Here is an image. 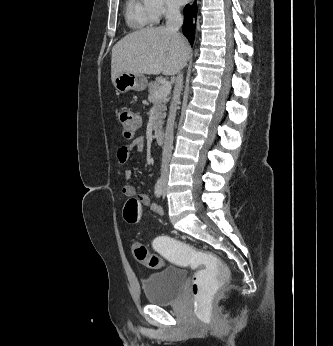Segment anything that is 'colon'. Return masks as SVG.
Returning a JSON list of instances; mask_svg holds the SVG:
<instances>
[{
  "label": "colon",
  "instance_id": "1",
  "mask_svg": "<svg viewBox=\"0 0 333 346\" xmlns=\"http://www.w3.org/2000/svg\"><path fill=\"white\" fill-rule=\"evenodd\" d=\"M119 120L123 137L130 140L137 132L140 122L138 116L131 110L123 108L119 112ZM124 220L128 224H136L140 217V202L136 198L129 199L123 210ZM151 245V253L146 245L134 242L132 251L135 259L150 269H159L163 266L164 256L168 264L174 268H190L196 271L191 285V307L195 315L202 310H210V302L217 288H226L231 279V271L224 264V257H217L208 252H201L193 248L192 244H183V240H174V235L155 233Z\"/></svg>",
  "mask_w": 333,
  "mask_h": 346
}]
</instances>
